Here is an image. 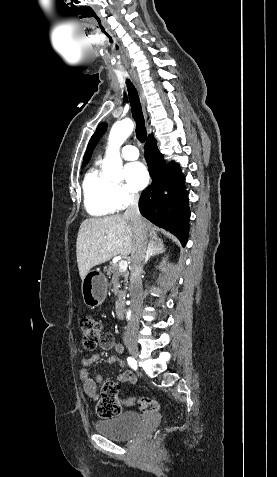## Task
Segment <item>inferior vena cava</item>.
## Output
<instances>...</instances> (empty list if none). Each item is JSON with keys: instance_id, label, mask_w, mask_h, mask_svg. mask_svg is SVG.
Segmentation results:
<instances>
[{"instance_id": "obj_1", "label": "inferior vena cava", "mask_w": 277, "mask_h": 477, "mask_svg": "<svg viewBox=\"0 0 277 477\" xmlns=\"http://www.w3.org/2000/svg\"><path fill=\"white\" fill-rule=\"evenodd\" d=\"M139 195L131 194L129 205L124 213L132 224L134 244L131 254L130 297L132 316L125 329V339L134 338L139 327V315L142 308L141 274L146 257L147 232L138 207Z\"/></svg>"}]
</instances>
